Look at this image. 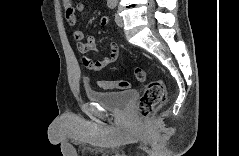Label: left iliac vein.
I'll use <instances>...</instances> for the list:
<instances>
[{
    "label": "left iliac vein",
    "mask_w": 239,
    "mask_h": 156,
    "mask_svg": "<svg viewBox=\"0 0 239 156\" xmlns=\"http://www.w3.org/2000/svg\"><path fill=\"white\" fill-rule=\"evenodd\" d=\"M115 22L117 26L122 27L123 26V19L118 14L115 15Z\"/></svg>",
    "instance_id": "4c4485c4"
}]
</instances>
